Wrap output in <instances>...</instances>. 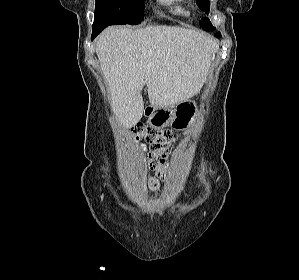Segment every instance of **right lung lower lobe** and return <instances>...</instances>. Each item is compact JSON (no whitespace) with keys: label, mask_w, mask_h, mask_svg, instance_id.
Returning <instances> with one entry per match:
<instances>
[{"label":"right lung lower lobe","mask_w":299,"mask_h":280,"mask_svg":"<svg viewBox=\"0 0 299 280\" xmlns=\"http://www.w3.org/2000/svg\"><path fill=\"white\" fill-rule=\"evenodd\" d=\"M115 24H120V20H118L115 16L106 13L95 12L91 40H93L107 26Z\"/></svg>","instance_id":"98d812e1"}]
</instances>
